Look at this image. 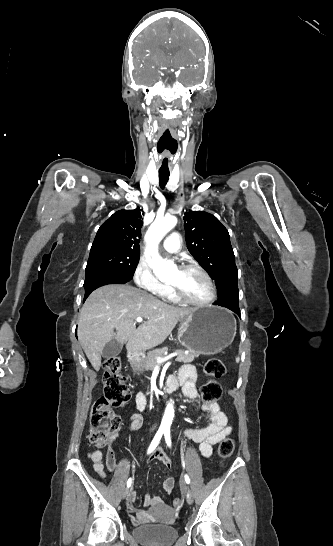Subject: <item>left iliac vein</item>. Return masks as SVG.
Returning <instances> with one entry per match:
<instances>
[{"label":"left iliac vein","mask_w":333,"mask_h":546,"mask_svg":"<svg viewBox=\"0 0 333 546\" xmlns=\"http://www.w3.org/2000/svg\"><path fill=\"white\" fill-rule=\"evenodd\" d=\"M183 490L186 492V500H187V503L188 504H192L193 503V494H192V491L189 489V487L184 484L182 486Z\"/></svg>","instance_id":"left-iliac-vein-1"}]
</instances>
